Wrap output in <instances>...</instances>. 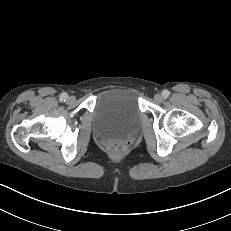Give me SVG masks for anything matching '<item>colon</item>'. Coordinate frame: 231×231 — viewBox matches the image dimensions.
<instances>
[{
    "label": "colon",
    "mask_w": 231,
    "mask_h": 231,
    "mask_svg": "<svg viewBox=\"0 0 231 231\" xmlns=\"http://www.w3.org/2000/svg\"><path fill=\"white\" fill-rule=\"evenodd\" d=\"M109 151L114 155H120L127 149V144L122 141H113L108 146Z\"/></svg>",
    "instance_id": "obj_1"
}]
</instances>
